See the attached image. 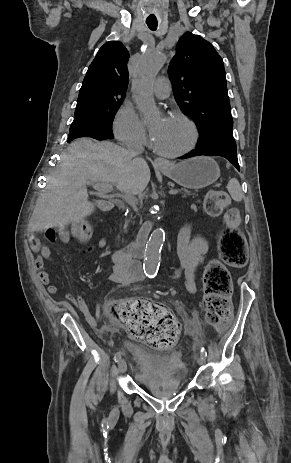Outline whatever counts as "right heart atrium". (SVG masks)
<instances>
[{"label": "right heart atrium", "mask_w": 291, "mask_h": 463, "mask_svg": "<svg viewBox=\"0 0 291 463\" xmlns=\"http://www.w3.org/2000/svg\"><path fill=\"white\" fill-rule=\"evenodd\" d=\"M113 128L117 139L124 144L143 146L147 143L144 124L130 105L120 107Z\"/></svg>", "instance_id": "right-heart-atrium-1"}]
</instances>
